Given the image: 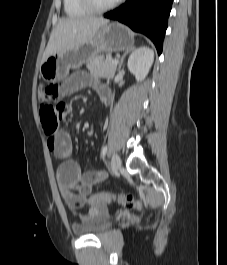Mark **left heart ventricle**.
Returning a JSON list of instances; mask_svg holds the SVG:
<instances>
[{
    "instance_id": "b2bd125f",
    "label": "left heart ventricle",
    "mask_w": 227,
    "mask_h": 265,
    "mask_svg": "<svg viewBox=\"0 0 227 265\" xmlns=\"http://www.w3.org/2000/svg\"><path fill=\"white\" fill-rule=\"evenodd\" d=\"M93 1L98 6H105L113 2L114 0H93Z\"/></svg>"
}]
</instances>
